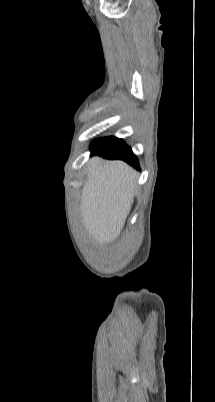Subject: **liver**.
Here are the masks:
<instances>
[{
  "label": "liver",
  "mask_w": 215,
  "mask_h": 402,
  "mask_svg": "<svg viewBox=\"0 0 215 402\" xmlns=\"http://www.w3.org/2000/svg\"><path fill=\"white\" fill-rule=\"evenodd\" d=\"M136 171L123 161L93 157L87 164L80 209L89 236L100 245L120 235L136 193Z\"/></svg>",
  "instance_id": "1"
}]
</instances>
